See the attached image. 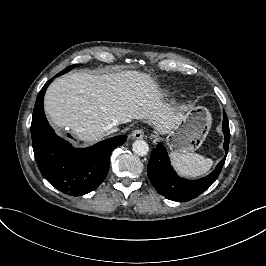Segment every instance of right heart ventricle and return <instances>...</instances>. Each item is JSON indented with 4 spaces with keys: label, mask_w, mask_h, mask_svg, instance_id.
Wrapping results in <instances>:
<instances>
[{
    "label": "right heart ventricle",
    "mask_w": 266,
    "mask_h": 266,
    "mask_svg": "<svg viewBox=\"0 0 266 266\" xmlns=\"http://www.w3.org/2000/svg\"><path fill=\"white\" fill-rule=\"evenodd\" d=\"M172 94V88L170 86L162 85L154 89L149 97H148V103L149 105H157L161 103L162 101L169 98Z\"/></svg>",
    "instance_id": "right-heart-ventricle-1"
}]
</instances>
